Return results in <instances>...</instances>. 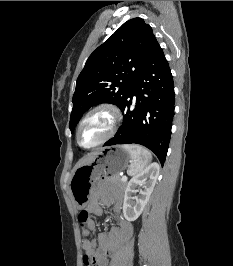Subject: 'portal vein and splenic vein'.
<instances>
[{"instance_id": "obj_1", "label": "portal vein and splenic vein", "mask_w": 233, "mask_h": 266, "mask_svg": "<svg viewBox=\"0 0 233 266\" xmlns=\"http://www.w3.org/2000/svg\"><path fill=\"white\" fill-rule=\"evenodd\" d=\"M121 180L124 182L127 181V176H122Z\"/></svg>"}]
</instances>
